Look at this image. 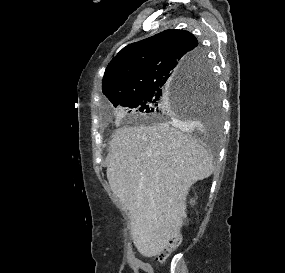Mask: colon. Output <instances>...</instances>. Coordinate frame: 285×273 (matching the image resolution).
Wrapping results in <instances>:
<instances>
[{
	"label": "colon",
	"instance_id": "5ec220e1",
	"mask_svg": "<svg viewBox=\"0 0 285 273\" xmlns=\"http://www.w3.org/2000/svg\"><path fill=\"white\" fill-rule=\"evenodd\" d=\"M178 244V237H173L172 239H170L166 246L158 253V255L156 256V260L158 262H163L169 256V254L178 246Z\"/></svg>",
	"mask_w": 285,
	"mask_h": 273
}]
</instances>
